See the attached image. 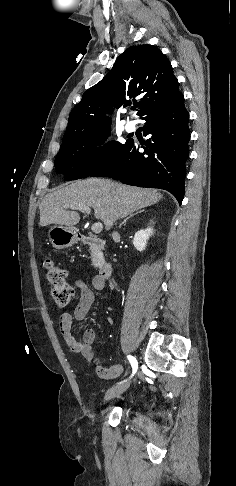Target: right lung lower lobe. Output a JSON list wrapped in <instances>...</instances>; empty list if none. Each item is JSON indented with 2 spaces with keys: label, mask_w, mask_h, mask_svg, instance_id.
<instances>
[{
  "label": "right lung lower lobe",
  "mask_w": 236,
  "mask_h": 486,
  "mask_svg": "<svg viewBox=\"0 0 236 486\" xmlns=\"http://www.w3.org/2000/svg\"><path fill=\"white\" fill-rule=\"evenodd\" d=\"M140 118L146 121L144 135L151 138L144 152L130 140L119 152L90 176H106L122 183L162 188L171 192L181 204L184 196L185 162L189 156V113L180 93L148 107Z\"/></svg>",
  "instance_id": "1"
}]
</instances>
